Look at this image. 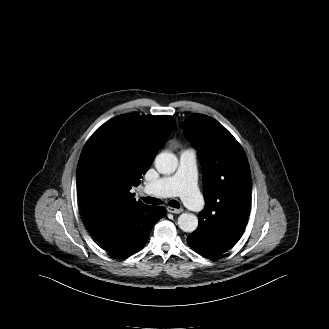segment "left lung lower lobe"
Masks as SVG:
<instances>
[{"mask_svg":"<svg viewBox=\"0 0 329 329\" xmlns=\"http://www.w3.org/2000/svg\"><path fill=\"white\" fill-rule=\"evenodd\" d=\"M247 217L243 220L229 221V224L218 227H206L199 224L198 228L187 237L188 245L206 257L218 256L231 247L241 238ZM230 229L226 230V229Z\"/></svg>","mask_w":329,"mask_h":329,"instance_id":"1","label":"left lung lower lobe"}]
</instances>
